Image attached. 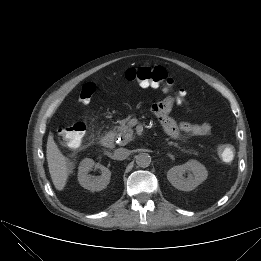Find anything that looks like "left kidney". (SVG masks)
<instances>
[{
  "mask_svg": "<svg viewBox=\"0 0 261 261\" xmlns=\"http://www.w3.org/2000/svg\"><path fill=\"white\" fill-rule=\"evenodd\" d=\"M189 173L187 177L183 175ZM208 172L204 165L190 160L183 165L174 166L167 172V179L177 189L192 191L207 179Z\"/></svg>",
  "mask_w": 261,
  "mask_h": 261,
  "instance_id": "left-kidney-1",
  "label": "left kidney"
}]
</instances>
